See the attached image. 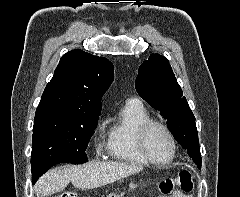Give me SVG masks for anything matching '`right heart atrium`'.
Returning <instances> with one entry per match:
<instances>
[{
    "mask_svg": "<svg viewBox=\"0 0 240 197\" xmlns=\"http://www.w3.org/2000/svg\"><path fill=\"white\" fill-rule=\"evenodd\" d=\"M102 127H103V124H100L97 129L99 130V129H101ZM96 148H97V151H100V150H101V144H100L99 141H97V143H96Z\"/></svg>",
    "mask_w": 240,
    "mask_h": 197,
    "instance_id": "right-heart-atrium-1",
    "label": "right heart atrium"
}]
</instances>
